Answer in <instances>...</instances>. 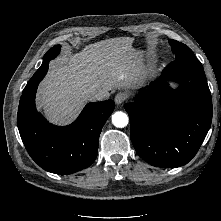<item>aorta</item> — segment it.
I'll list each match as a JSON object with an SVG mask.
<instances>
[{
  "label": "aorta",
  "instance_id": "aorta-1",
  "mask_svg": "<svg viewBox=\"0 0 221 221\" xmlns=\"http://www.w3.org/2000/svg\"><path fill=\"white\" fill-rule=\"evenodd\" d=\"M129 118L126 113L118 111L112 115V123L117 128H123L127 126Z\"/></svg>",
  "mask_w": 221,
  "mask_h": 221
}]
</instances>
